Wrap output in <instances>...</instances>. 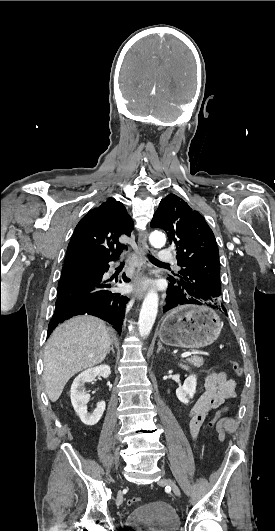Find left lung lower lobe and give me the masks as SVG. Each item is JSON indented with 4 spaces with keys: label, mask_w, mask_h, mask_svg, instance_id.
I'll use <instances>...</instances> for the list:
<instances>
[{
    "label": "left lung lower lobe",
    "mask_w": 275,
    "mask_h": 531,
    "mask_svg": "<svg viewBox=\"0 0 275 531\" xmlns=\"http://www.w3.org/2000/svg\"><path fill=\"white\" fill-rule=\"evenodd\" d=\"M178 305H182V304H178L176 303L174 300H172L168 295H167V298H166V303L165 305L163 306V312H167L169 311L170 309L178 306ZM224 311L226 312V309H224Z\"/></svg>",
    "instance_id": "obj_1"
}]
</instances>
